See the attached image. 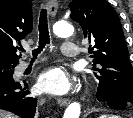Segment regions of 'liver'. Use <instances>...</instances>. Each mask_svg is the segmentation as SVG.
Returning <instances> with one entry per match:
<instances>
[{"mask_svg":"<svg viewBox=\"0 0 133 118\" xmlns=\"http://www.w3.org/2000/svg\"><path fill=\"white\" fill-rule=\"evenodd\" d=\"M0 118H17L14 114L0 110Z\"/></svg>","mask_w":133,"mask_h":118,"instance_id":"obj_1","label":"liver"}]
</instances>
